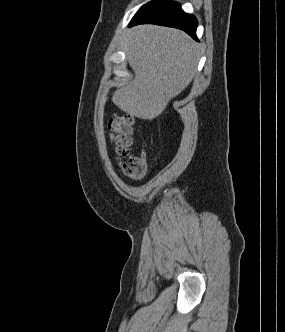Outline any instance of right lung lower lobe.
<instances>
[{
	"instance_id": "98d812e1",
	"label": "right lung lower lobe",
	"mask_w": 285,
	"mask_h": 332,
	"mask_svg": "<svg viewBox=\"0 0 285 332\" xmlns=\"http://www.w3.org/2000/svg\"><path fill=\"white\" fill-rule=\"evenodd\" d=\"M138 24H157L181 29L195 40L197 19L193 15L186 14L180 4L168 0H153L143 6L132 18L129 27Z\"/></svg>"
}]
</instances>
